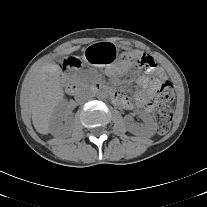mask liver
<instances>
[{"label":"liver","mask_w":207,"mask_h":207,"mask_svg":"<svg viewBox=\"0 0 207 207\" xmlns=\"http://www.w3.org/2000/svg\"><path fill=\"white\" fill-rule=\"evenodd\" d=\"M79 48L80 46L67 48L59 54H70ZM22 96L31 109L36 131L43 135L48 134L51 117L64 97L61 73L53 58L46 59L29 72L23 84Z\"/></svg>","instance_id":"1"}]
</instances>
